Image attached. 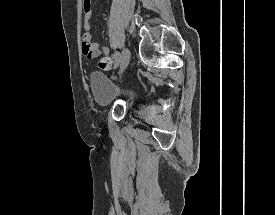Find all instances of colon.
<instances>
[{
  "mask_svg": "<svg viewBox=\"0 0 275 215\" xmlns=\"http://www.w3.org/2000/svg\"><path fill=\"white\" fill-rule=\"evenodd\" d=\"M114 65L115 63H113V61L110 58H101L99 61L100 68L104 70H110L113 68Z\"/></svg>",
  "mask_w": 275,
  "mask_h": 215,
  "instance_id": "1",
  "label": "colon"
}]
</instances>
